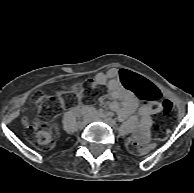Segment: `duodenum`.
<instances>
[{
	"label": "duodenum",
	"instance_id": "obj_1",
	"mask_svg": "<svg viewBox=\"0 0 194 193\" xmlns=\"http://www.w3.org/2000/svg\"><path fill=\"white\" fill-rule=\"evenodd\" d=\"M72 112L75 115H94V116H97V117H100V118L105 117L104 114L98 113V112H96L93 109L88 108V107L75 106V107L72 108ZM94 118H96V117H93V119Z\"/></svg>",
	"mask_w": 194,
	"mask_h": 193
}]
</instances>
